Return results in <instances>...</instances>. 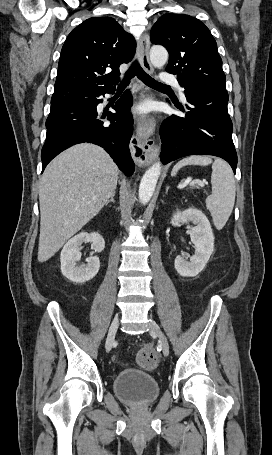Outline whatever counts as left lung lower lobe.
<instances>
[{
    "mask_svg": "<svg viewBox=\"0 0 272 455\" xmlns=\"http://www.w3.org/2000/svg\"><path fill=\"white\" fill-rule=\"evenodd\" d=\"M185 116L172 115L160 128L161 158L167 164L188 155H214L226 160L234 173L237 154L232 140L226 89L197 87L185 89ZM176 107L182 111L180 105Z\"/></svg>",
    "mask_w": 272,
    "mask_h": 455,
    "instance_id": "0a47b994",
    "label": "left lung lower lobe"
}]
</instances>
